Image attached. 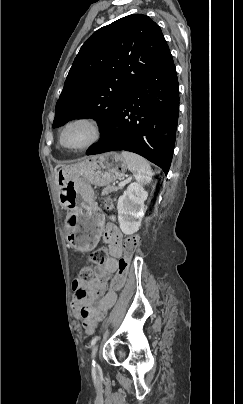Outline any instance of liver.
<instances>
[{"label":"liver","instance_id":"liver-1","mask_svg":"<svg viewBox=\"0 0 243 404\" xmlns=\"http://www.w3.org/2000/svg\"><path fill=\"white\" fill-rule=\"evenodd\" d=\"M57 168H60V166H56V168H55V174H56V176H55V182H56V186H57Z\"/></svg>","mask_w":243,"mask_h":404}]
</instances>
